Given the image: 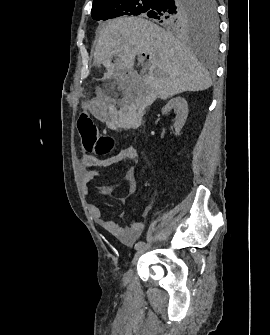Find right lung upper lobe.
<instances>
[{
  "label": "right lung upper lobe",
  "mask_w": 270,
  "mask_h": 335,
  "mask_svg": "<svg viewBox=\"0 0 270 335\" xmlns=\"http://www.w3.org/2000/svg\"><path fill=\"white\" fill-rule=\"evenodd\" d=\"M100 0H93V4L98 3Z\"/></svg>",
  "instance_id": "cb5924a9"
}]
</instances>
